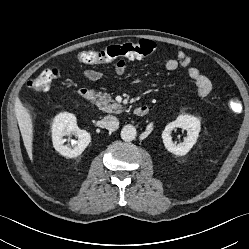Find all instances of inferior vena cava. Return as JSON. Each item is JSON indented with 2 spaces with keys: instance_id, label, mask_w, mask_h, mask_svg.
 <instances>
[{
  "instance_id": "602c4592",
  "label": "inferior vena cava",
  "mask_w": 249,
  "mask_h": 249,
  "mask_svg": "<svg viewBox=\"0 0 249 249\" xmlns=\"http://www.w3.org/2000/svg\"><path fill=\"white\" fill-rule=\"evenodd\" d=\"M104 127L109 131H116L119 128V121L115 116L108 115L103 119Z\"/></svg>"
}]
</instances>
